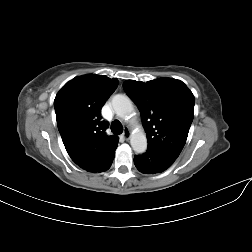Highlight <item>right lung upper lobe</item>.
I'll return each instance as SVG.
<instances>
[{
	"label": "right lung upper lobe",
	"instance_id": "1",
	"mask_svg": "<svg viewBox=\"0 0 252 252\" xmlns=\"http://www.w3.org/2000/svg\"><path fill=\"white\" fill-rule=\"evenodd\" d=\"M117 79L105 75H86L67 82L54 100L57 126L71 159L88 172L109 169L118 137L108 136V122L100 110L116 90Z\"/></svg>",
	"mask_w": 252,
	"mask_h": 252
}]
</instances>
